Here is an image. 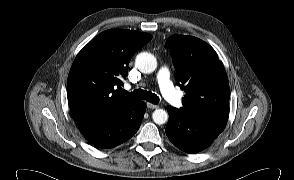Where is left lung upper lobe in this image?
I'll use <instances>...</instances> for the list:
<instances>
[{
    "mask_svg": "<svg viewBox=\"0 0 294 180\" xmlns=\"http://www.w3.org/2000/svg\"><path fill=\"white\" fill-rule=\"evenodd\" d=\"M165 47L175 67V79L186 95L179 110L190 116L225 117L229 109V83L222 62L206 42L174 34Z\"/></svg>",
    "mask_w": 294,
    "mask_h": 180,
    "instance_id": "1",
    "label": "left lung upper lobe"
}]
</instances>
